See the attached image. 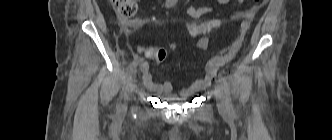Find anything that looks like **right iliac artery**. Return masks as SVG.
Segmentation results:
<instances>
[{"label": "right iliac artery", "instance_id": "82829eb1", "mask_svg": "<svg viewBox=\"0 0 332 140\" xmlns=\"http://www.w3.org/2000/svg\"><path fill=\"white\" fill-rule=\"evenodd\" d=\"M178 0H167L166 1V7L167 8H170V7H173L176 3H177ZM141 58H136L128 67V73H130L137 65L138 63L140 62ZM127 73V75H128Z\"/></svg>", "mask_w": 332, "mask_h": 140}]
</instances>
